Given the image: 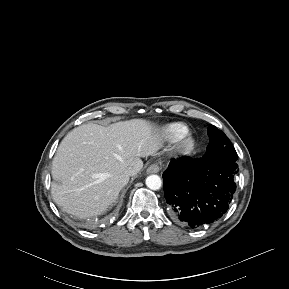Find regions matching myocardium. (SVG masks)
Returning <instances> with one entry per match:
<instances>
[{"label":"myocardium","instance_id":"myocardium-1","mask_svg":"<svg viewBox=\"0 0 289 289\" xmlns=\"http://www.w3.org/2000/svg\"><path fill=\"white\" fill-rule=\"evenodd\" d=\"M196 146L194 136L187 132L175 140V150L180 155H187L191 153Z\"/></svg>","mask_w":289,"mask_h":289}]
</instances>
